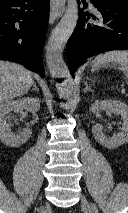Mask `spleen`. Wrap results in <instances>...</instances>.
I'll list each match as a JSON object with an SVG mask.
<instances>
[{
    "label": "spleen",
    "instance_id": "obj_1",
    "mask_svg": "<svg viewBox=\"0 0 128 213\" xmlns=\"http://www.w3.org/2000/svg\"><path fill=\"white\" fill-rule=\"evenodd\" d=\"M109 63L120 65L119 69L124 73L126 78H128V51H109L98 55L93 60L91 71L94 72Z\"/></svg>",
    "mask_w": 128,
    "mask_h": 213
}]
</instances>
